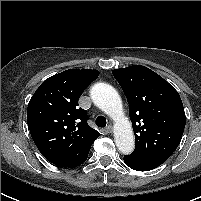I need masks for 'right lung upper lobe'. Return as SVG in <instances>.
<instances>
[{
	"label": "right lung upper lobe",
	"instance_id": "1",
	"mask_svg": "<svg viewBox=\"0 0 201 201\" xmlns=\"http://www.w3.org/2000/svg\"><path fill=\"white\" fill-rule=\"evenodd\" d=\"M98 70L69 69L46 79L27 109L30 134L41 154L60 167H75L88 156L99 133L87 124V113L77 107Z\"/></svg>",
	"mask_w": 201,
	"mask_h": 201
}]
</instances>
